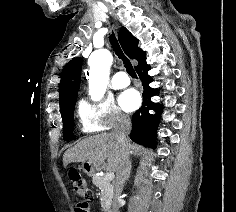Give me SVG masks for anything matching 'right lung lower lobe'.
Returning <instances> with one entry per match:
<instances>
[{
    "instance_id": "98d812e1",
    "label": "right lung lower lobe",
    "mask_w": 236,
    "mask_h": 212,
    "mask_svg": "<svg viewBox=\"0 0 236 212\" xmlns=\"http://www.w3.org/2000/svg\"><path fill=\"white\" fill-rule=\"evenodd\" d=\"M136 72L144 88L143 104L132 116V131L130 138L141 145H156V129L159 123L162 106L151 101V97L157 95L158 89L149 87L152 77L148 75L150 66L146 58L136 67ZM149 110H155L156 114H149Z\"/></svg>"
}]
</instances>
